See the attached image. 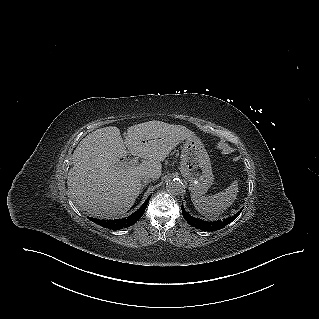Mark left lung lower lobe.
<instances>
[{
  "mask_svg": "<svg viewBox=\"0 0 319 319\" xmlns=\"http://www.w3.org/2000/svg\"><path fill=\"white\" fill-rule=\"evenodd\" d=\"M182 209V213H183V217L184 219L193 227L197 228V229H201L203 231H217L223 227H225L226 225H228L229 223H231L242 211V209L237 212L234 216L229 217L227 219L224 220H218V221H203L200 219H197L195 217H192L190 214H188L183 205L181 206Z\"/></svg>",
  "mask_w": 319,
  "mask_h": 319,
  "instance_id": "0a47b994",
  "label": "left lung lower lobe"
}]
</instances>
